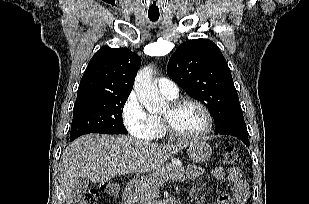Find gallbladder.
<instances>
[{
	"instance_id": "obj_1",
	"label": "gallbladder",
	"mask_w": 309,
	"mask_h": 204,
	"mask_svg": "<svg viewBox=\"0 0 309 204\" xmlns=\"http://www.w3.org/2000/svg\"><path fill=\"white\" fill-rule=\"evenodd\" d=\"M88 188H89L88 178H79L74 184L71 201L76 202L80 200Z\"/></svg>"
}]
</instances>
